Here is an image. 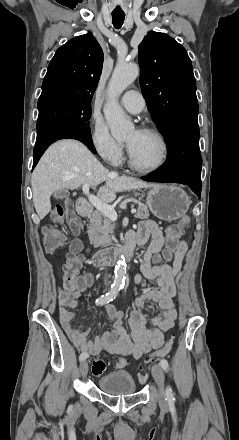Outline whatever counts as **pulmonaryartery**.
<instances>
[{
	"mask_svg": "<svg viewBox=\"0 0 239 440\" xmlns=\"http://www.w3.org/2000/svg\"><path fill=\"white\" fill-rule=\"evenodd\" d=\"M121 103L126 110L132 113H139L145 106V101L141 94L135 90H129L124 93Z\"/></svg>",
	"mask_w": 239,
	"mask_h": 440,
	"instance_id": "e3ab8cb5",
	"label": "pulmonary artery"
}]
</instances>
